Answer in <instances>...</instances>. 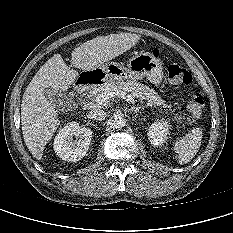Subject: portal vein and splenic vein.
<instances>
[{
    "label": "portal vein and splenic vein",
    "mask_w": 233,
    "mask_h": 233,
    "mask_svg": "<svg viewBox=\"0 0 233 233\" xmlns=\"http://www.w3.org/2000/svg\"><path fill=\"white\" fill-rule=\"evenodd\" d=\"M115 96L121 97L129 103H132V104L135 103V99L131 95L119 89H113V90L97 95V97L95 98V102L98 105L106 104L109 102L111 98Z\"/></svg>",
    "instance_id": "obj_1"
}]
</instances>
